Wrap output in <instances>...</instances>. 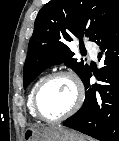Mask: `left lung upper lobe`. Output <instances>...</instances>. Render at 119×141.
Here are the masks:
<instances>
[{
	"label": "left lung upper lobe",
	"mask_w": 119,
	"mask_h": 141,
	"mask_svg": "<svg viewBox=\"0 0 119 141\" xmlns=\"http://www.w3.org/2000/svg\"><path fill=\"white\" fill-rule=\"evenodd\" d=\"M119 8V0H51L39 11L23 69L26 88L46 68L64 63L83 80L90 68L73 58L67 46L73 38L87 36L93 41L97 31Z\"/></svg>",
	"instance_id": "left-lung-upper-lobe-1"
}]
</instances>
